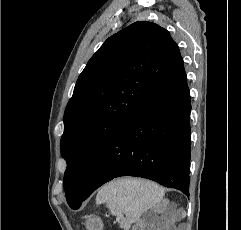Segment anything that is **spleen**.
<instances>
[{"instance_id": "obj_1", "label": "spleen", "mask_w": 241, "mask_h": 230, "mask_svg": "<svg viewBox=\"0 0 241 230\" xmlns=\"http://www.w3.org/2000/svg\"><path fill=\"white\" fill-rule=\"evenodd\" d=\"M163 197V188L154 182L122 178L104 185L97 193L96 203L106 204L112 215L119 216L124 213L130 225Z\"/></svg>"}]
</instances>
